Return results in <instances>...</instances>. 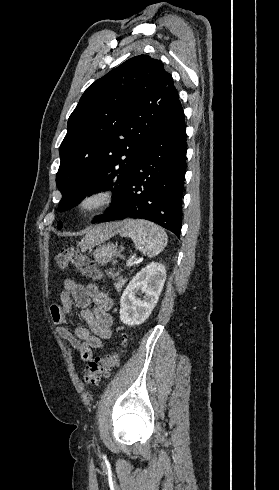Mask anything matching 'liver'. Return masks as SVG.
<instances>
[{"mask_svg":"<svg viewBox=\"0 0 279 490\" xmlns=\"http://www.w3.org/2000/svg\"><path fill=\"white\" fill-rule=\"evenodd\" d=\"M122 224L123 222H117V224H100V226H95V228L89 230L88 234L80 242L82 252L93 248L95 242L98 244V242H103V240H107V238H111V236L120 232Z\"/></svg>","mask_w":279,"mask_h":490,"instance_id":"liver-1","label":"liver"}]
</instances>
